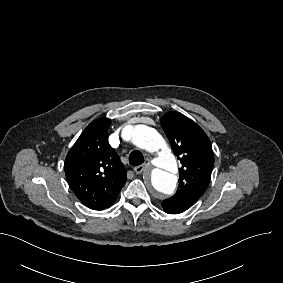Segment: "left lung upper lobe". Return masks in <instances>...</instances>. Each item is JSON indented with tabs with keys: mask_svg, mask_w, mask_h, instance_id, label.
I'll list each match as a JSON object with an SVG mask.
<instances>
[{
	"mask_svg": "<svg viewBox=\"0 0 283 283\" xmlns=\"http://www.w3.org/2000/svg\"><path fill=\"white\" fill-rule=\"evenodd\" d=\"M161 126L182 164L179 189L161 205L187 210L201 197L210 182L214 166L211 142L199 125L179 112L165 114Z\"/></svg>",
	"mask_w": 283,
	"mask_h": 283,
	"instance_id": "obj_1",
	"label": "left lung upper lobe"
}]
</instances>
